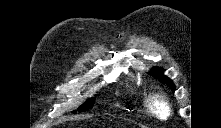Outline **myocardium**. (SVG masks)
I'll return each mask as SVG.
<instances>
[{
  "label": "myocardium",
  "instance_id": "1",
  "mask_svg": "<svg viewBox=\"0 0 221 128\" xmlns=\"http://www.w3.org/2000/svg\"><path fill=\"white\" fill-rule=\"evenodd\" d=\"M147 109L150 115L161 120L167 119L172 112L169 101L160 93L153 94L147 99Z\"/></svg>",
  "mask_w": 221,
  "mask_h": 128
}]
</instances>
